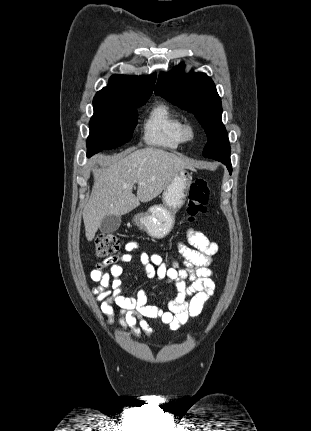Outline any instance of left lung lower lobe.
Segmentation results:
<instances>
[{"mask_svg":"<svg viewBox=\"0 0 311 431\" xmlns=\"http://www.w3.org/2000/svg\"><path fill=\"white\" fill-rule=\"evenodd\" d=\"M220 161L227 166V168L231 174L232 166H231L230 156L222 157Z\"/></svg>","mask_w":311,"mask_h":431,"instance_id":"left-lung-lower-lobe-1","label":"left lung lower lobe"}]
</instances>
